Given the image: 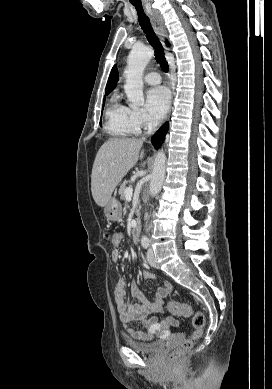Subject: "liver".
Instances as JSON below:
<instances>
[{"label":"liver","mask_w":272,"mask_h":389,"mask_svg":"<svg viewBox=\"0 0 272 389\" xmlns=\"http://www.w3.org/2000/svg\"><path fill=\"white\" fill-rule=\"evenodd\" d=\"M142 145V139L110 138L100 147L91 174L92 196L98 206L109 202L115 187L143 158Z\"/></svg>","instance_id":"obj_1"}]
</instances>
